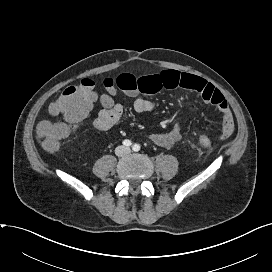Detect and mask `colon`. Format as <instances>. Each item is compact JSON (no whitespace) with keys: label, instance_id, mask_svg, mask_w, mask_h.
<instances>
[{"label":"colon","instance_id":"obj_1","mask_svg":"<svg viewBox=\"0 0 272 272\" xmlns=\"http://www.w3.org/2000/svg\"><path fill=\"white\" fill-rule=\"evenodd\" d=\"M104 93L98 96L95 83L90 78H83L75 85L65 88L50 105V113L63 117L64 121L45 120L39 123L37 134L42 139L43 148L54 152L69 137L72 125L83 119L99 99L103 106H110L116 93L115 80L107 78L103 82ZM198 143L203 148L212 145L211 139L202 135Z\"/></svg>","mask_w":272,"mask_h":272}]
</instances>
